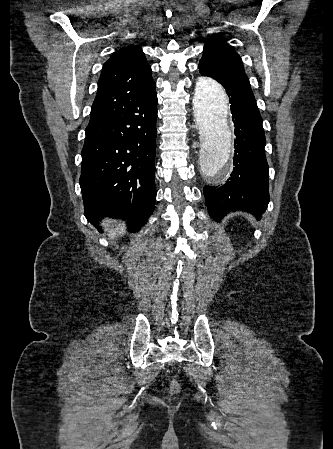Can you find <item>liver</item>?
Listing matches in <instances>:
<instances>
[{
  "label": "liver",
  "mask_w": 333,
  "mask_h": 449,
  "mask_svg": "<svg viewBox=\"0 0 333 449\" xmlns=\"http://www.w3.org/2000/svg\"><path fill=\"white\" fill-rule=\"evenodd\" d=\"M105 224H106L107 228H109L110 227V220H106Z\"/></svg>",
  "instance_id": "obj_1"
}]
</instances>
